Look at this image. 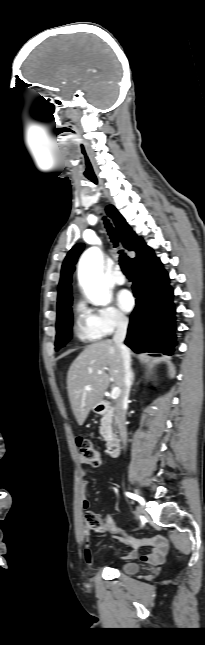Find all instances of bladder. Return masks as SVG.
I'll list each match as a JSON object with an SVG mask.
<instances>
[{"label": "bladder", "instance_id": "obj_1", "mask_svg": "<svg viewBox=\"0 0 205 645\" xmlns=\"http://www.w3.org/2000/svg\"><path fill=\"white\" fill-rule=\"evenodd\" d=\"M119 569L126 574H135L139 571L140 565L136 562H124L119 565Z\"/></svg>", "mask_w": 205, "mask_h": 645}]
</instances>
